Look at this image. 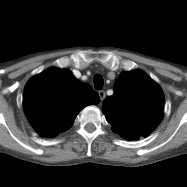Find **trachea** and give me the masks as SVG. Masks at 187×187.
<instances>
[{"label":"trachea","mask_w":187,"mask_h":187,"mask_svg":"<svg viewBox=\"0 0 187 187\" xmlns=\"http://www.w3.org/2000/svg\"><path fill=\"white\" fill-rule=\"evenodd\" d=\"M93 82L96 90H100L103 88V77L100 74H96L93 77Z\"/></svg>","instance_id":"obj_1"}]
</instances>
